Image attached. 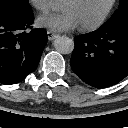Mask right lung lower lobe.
Returning <instances> with one entry per match:
<instances>
[{
	"label": "right lung lower lobe",
	"instance_id": "right-lung-lower-lobe-1",
	"mask_svg": "<svg viewBox=\"0 0 128 128\" xmlns=\"http://www.w3.org/2000/svg\"><path fill=\"white\" fill-rule=\"evenodd\" d=\"M33 14L0 16V83L15 84L33 72L47 42L44 29H32Z\"/></svg>",
	"mask_w": 128,
	"mask_h": 128
}]
</instances>
